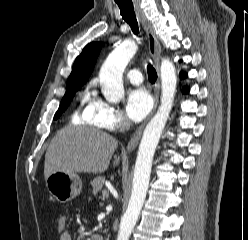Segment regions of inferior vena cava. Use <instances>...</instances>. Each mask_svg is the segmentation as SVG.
Here are the masks:
<instances>
[{"mask_svg":"<svg viewBox=\"0 0 248 240\" xmlns=\"http://www.w3.org/2000/svg\"><path fill=\"white\" fill-rule=\"evenodd\" d=\"M130 125V122L128 120L125 121V123L122 125L121 130H125Z\"/></svg>","mask_w":248,"mask_h":240,"instance_id":"inferior-vena-cava-1","label":"inferior vena cava"}]
</instances>
